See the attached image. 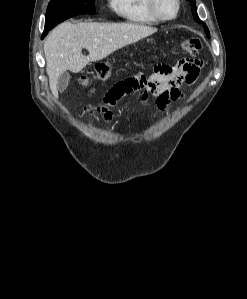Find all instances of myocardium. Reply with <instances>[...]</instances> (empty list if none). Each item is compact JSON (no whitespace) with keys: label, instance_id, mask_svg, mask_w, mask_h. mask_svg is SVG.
Segmentation results:
<instances>
[{"label":"myocardium","instance_id":"f54148a6","mask_svg":"<svg viewBox=\"0 0 247 299\" xmlns=\"http://www.w3.org/2000/svg\"><path fill=\"white\" fill-rule=\"evenodd\" d=\"M149 1V9L152 15L159 21L168 22L176 19L180 13L181 3L180 0H173L176 5V10L174 15L166 17L162 15L158 9V0H148Z\"/></svg>","mask_w":247,"mask_h":299}]
</instances>
